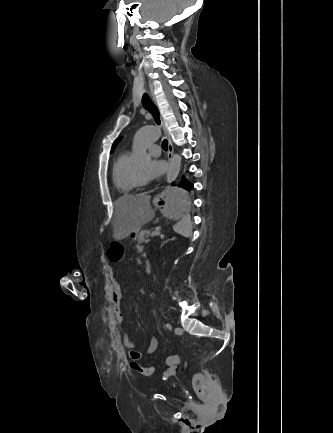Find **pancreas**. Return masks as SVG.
<instances>
[{
  "label": "pancreas",
  "instance_id": "obj_1",
  "mask_svg": "<svg viewBox=\"0 0 333 433\" xmlns=\"http://www.w3.org/2000/svg\"><path fill=\"white\" fill-rule=\"evenodd\" d=\"M161 229L160 226L156 227V229ZM156 231V230H155ZM150 233V231L148 230H142L140 231V233L138 234V238H137V248L145 241V237Z\"/></svg>",
  "mask_w": 333,
  "mask_h": 433
}]
</instances>
